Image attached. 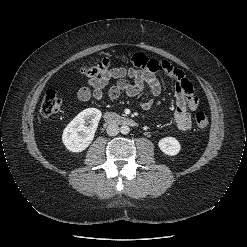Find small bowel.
<instances>
[{"label": "small bowel", "instance_id": "1", "mask_svg": "<svg viewBox=\"0 0 247 247\" xmlns=\"http://www.w3.org/2000/svg\"><path fill=\"white\" fill-rule=\"evenodd\" d=\"M123 60L131 62L134 67H114L103 72L100 76L89 78L88 87L79 90L78 99L81 102H87L91 98L97 101L106 98L115 100L122 94L135 97L148 87L151 96L140 103V107L148 111L153 107L155 99L161 94L159 75H166L174 83L176 101L174 121L176 127L181 133L189 132L192 126L190 112L198 108L199 98L195 95L193 86L184 73L167 61L150 59L143 54H135L131 58H124ZM129 79L133 82L131 83ZM111 80H116V83L109 86ZM107 87L108 90L105 92Z\"/></svg>", "mask_w": 247, "mask_h": 247}]
</instances>
